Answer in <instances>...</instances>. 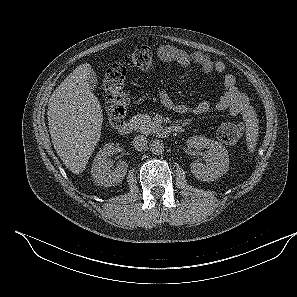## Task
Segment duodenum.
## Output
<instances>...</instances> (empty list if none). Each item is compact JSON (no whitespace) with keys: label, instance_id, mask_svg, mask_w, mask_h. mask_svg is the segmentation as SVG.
I'll return each mask as SVG.
<instances>
[{"label":"duodenum","instance_id":"obj_1","mask_svg":"<svg viewBox=\"0 0 297 297\" xmlns=\"http://www.w3.org/2000/svg\"><path fill=\"white\" fill-rule=\"evenodd\" d=\"M135 126L136 125L134 121L132 120L125 121L119 125L118 132L121 135H129L134 131ZM181 131H182V127L180 125H169V126L162 127L159 130L158 134L161 137H168L174 133H179Z\"/></svg>","mask_w":297,"mask_h":297}]
</instances>
